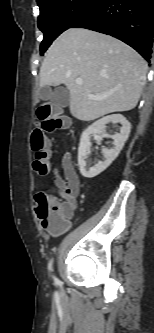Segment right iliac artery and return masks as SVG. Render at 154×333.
Listing matches in <instances>:
<instances>
[{
  "label": "right iliac artery",
  "mask_w": 154,
  "mask_h": 333,
  "mask_svg": "<svg viewBox=\"0 0 154 333\" xmlns=\"http://www.w3.org/2000/svg\"><path fill=\"white\" fill-rule=\"evenodd\" d=\"M48 268H49V270H52V260L50 261ZM55 280H57V279H55Z\"/></svg>",
  "instance_id": "obj_1"
}]
</instances>
